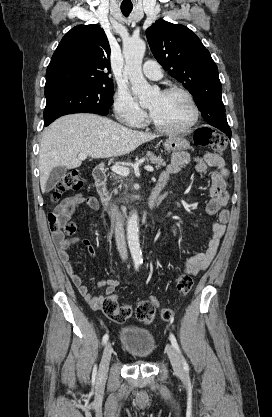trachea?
I'll return each instance as SVG.
<instances>
[{
	"label": "trachea",
	"instance_id": "obj_1",
	"mask_svg": "<svg viewBox=\"0 0 272 417\" xmlns=\"http://www.w3.org/2000/svg\"><path fill=\"white\" fill-rule=\"evenodd\" d=\"M121 11L124 16H128L132 11V6H121Z\"/></svg>",
	"mask_w": 272,
	"mask_h": 417
}]
</instances>
